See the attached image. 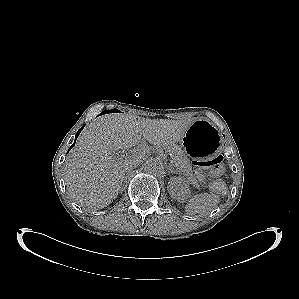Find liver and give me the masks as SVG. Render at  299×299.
Segmentation results:
<instances>
[{
  "mask_svg": "<svg viewBox=\"0 0 299 299\" xmlns=\"http://www.w3.org/2000/svg\"><path fill=\"white\" fill-rule=\"evenodd\" d=\"M192 123L129 114L101 116L82 133L65 161L68 193L82 206L106 207L117 197L130 163L140 162L151 148L136 147L124 157L118 150L138 145L141 136L155 147H167L182 139Z\"/></svg>",
  "mask_w": 299,
  "mask_h": 299,
  "instance_id": "6515ba94",
  "label": "liver"
}]
</instances>
